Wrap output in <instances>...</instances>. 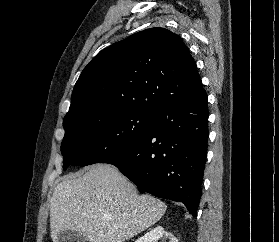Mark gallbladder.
<instances>
[{
    "mask_svg": "<svg viewBox=\"0 0 279 242\" xmlns=\"http://www.w3.org/2000/svg\"><path fill=\"white\" fill-rule=\"evenodd\" d=\"M87 238L75 231L64 230L58 234V242H86Z\"/></svg>",
    "mask_w": 279,
    "mask_h": 242,
    "instance_id": "1",
    "label": "gallbladder"
}]
</instances>
